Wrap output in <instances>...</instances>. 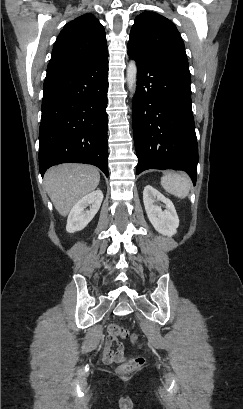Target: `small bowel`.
I'll list each match as a JSON object with an SVG mask.
<instances>
[{
  "label": "small bowel",
  "mask_w": 243,
  "mask_h": 409,
  "mask_svg": "<svg viewBox=\"0 0 243 409\" xmlns=\"http://www.w3.org/2000/svg\"><path fill=\"white\" fill-rule=\"evenodd\" d=\"M102 360L106 364L118 363L125 360L124 349L118 337L111 332L107 336L102 349Z\"/></svg>",
  "instance_id": "small-bowel-1"
}]
</instances>
